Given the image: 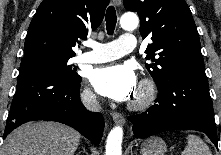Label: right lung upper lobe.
<instances>
[{"mask_svg": "<svg viewBox=\"0 0 221 155\" xmlns=\"http://www.w3.org/2000/svg\"><path fill=\"white\" fill-rule=\"evenodd\" d=\"M109 0H44L28 29L24 56L50 53L75 56L78 39L101 24Z\"/></svg>", "mask_w": 221, "mask_h": 155, "instance_id": "1", "label": "right lung upper lobe"}]
</instances>
